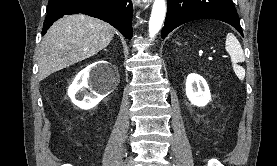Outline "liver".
<instances>
[{
  "mask_svg": "<svg viewBox=\"0 0 277 166\" xmlns=\"http://www.w3.org/2000/svg\"><path fill=\"white\" fill-rule=\"evenodd\" d=\"M115 29L87 15H70L56 21L44 36L39 51V80L90 58L106 48Z\"/></svg>",
  "mask_w": 277,
  "mask_h": 166,
  "instance_id": "liver-1",
  "label": "liver"
}]
</instances>
